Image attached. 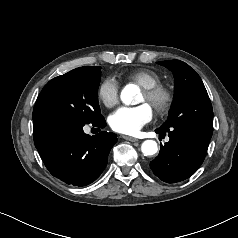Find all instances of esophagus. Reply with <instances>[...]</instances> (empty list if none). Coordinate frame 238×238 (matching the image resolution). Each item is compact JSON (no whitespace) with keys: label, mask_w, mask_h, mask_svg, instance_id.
Wrapping results in <instances>:
<instances>
[{"label":"esophagus","mask_w":238,"mask_h":238,"mask_svg":"<svg viewBox=\"0 0 238 238\" xmlns=\"http://www.w3.org/2000/svg\"><path fill=\"white\" fill-rule=\"evenodd\" d=\"M125 140L131 141V142H137L139 141L137 138L130 137V136H122Z\"/></svg>","instance_id":"34e87169"}]
</instances>
